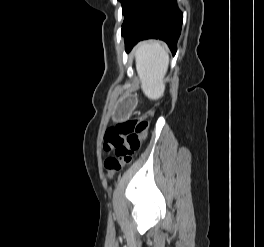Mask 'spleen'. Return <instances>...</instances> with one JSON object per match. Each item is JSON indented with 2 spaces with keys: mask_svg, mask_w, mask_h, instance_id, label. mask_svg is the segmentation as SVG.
<instances>
[{
  "mask_svg": "<svg viewBox=\"0 0 264 247\" xmlns=\"http://www.w3.org/2000/svg\"><path fill=\"white\" fill-rule=\"evenodd\" d=\"M135 56L143 92L151 99L160 98L164 93V76L169 64L165 48L156 41H149L136 47Z\"/></svg>",
  "mask_w": 264,
  "mask_h": 247,
  "instance_id": "1",
  "label": "spleen"
}]
</instances>
